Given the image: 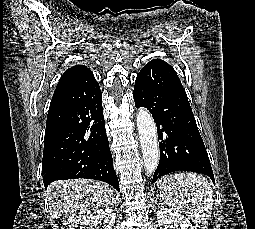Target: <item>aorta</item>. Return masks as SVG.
Wrapping results in <instances>:
<instances>
[{
	"label": "aorta",
	"instance_id": "aorta-1",
	"mask_svg": "<svg viewBox=\"0 0 255 229\" xmlns=\"http://www.w3.org/2000/svg\"><path fill=\"white\" fill-rule=\"evenodd\" d=\"M137 127L146 175H152L159 162V145L154 119L146 108L137 113Z\"/></svg>",
	"mask_w": 255,
	"mask_h": 229
}]
</instances>
